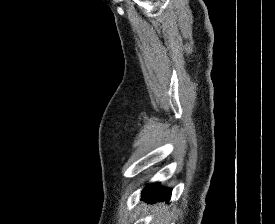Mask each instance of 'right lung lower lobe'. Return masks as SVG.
<instances>
[{
    "label": "right lung lower lobe",
    "instance_id": "right-lung-lower-lobe-1",
    "mask_svg": "<svg viewBox=\"0 0 275 224\" xmlns=\"http://www.w3.org/2000/svg\"><path fill=\"white\" fill-rule=\"evenodd\" d=\"M171 197V190L168 188H162L159 183L148 185L142 192V198H145L149 202L156 201H168Z\"/></svg>",
    "mask_w": 275,
    "mask_h": 224
}]
</instances>
